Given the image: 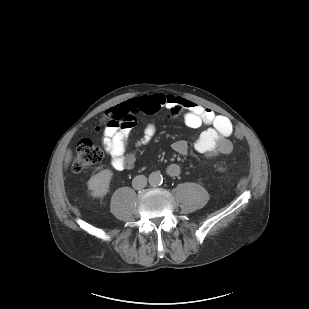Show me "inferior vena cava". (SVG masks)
Masks as SVG:
<instances>
[{
  "label": "inferior vena cava",
  "mask_w": 309,
  "mask_h": 309,
  "mask_svg": "<svg viewBox=\"0 0 309 309\" xmlns=\"http://www.w3.org/2000/svg\"><path fill=\"white\" fill-rule=\"evenodd\" d=\"M147 185V178L144 175H138L132 180V186L134 189H141Z\"/></svg>",
  "instance_id": "inferior-vena-cava-1"
}]
</instances>
